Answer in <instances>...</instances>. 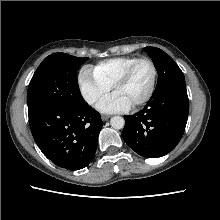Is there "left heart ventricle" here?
Returning a JSON list of instances; mask_svg holds the SVG:
<instances>
[{
  "instance_id": "1",
  "label": "left heart ventricle",
  "mask_w": 220,
  "mask_h": 220,
  "mask_svg": "<svg viewBox=\"0 0 220 220\" xmlns=\"http://www.w3.org/2000/svg\"><path fill=\"white\" fill-rule=\"evenodd\" d=\"M152 67L148 62L140 63L130 79L118 87L115 93L122 96L131 106L145 97L152 82Z\"/></svg>"
}]
</instances>
